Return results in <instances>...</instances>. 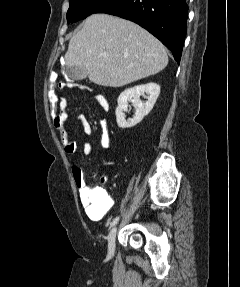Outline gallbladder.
<instances>
[{"mask_svg":"<svg viewBox=\"0 0 240 287\" xmlns=\"http://www.w3.org/2000/svg\"><path fill=\"white\" fill-rule=\"evenodd\" d=\"M64 74L69 81H80L88 76L87 70L78 66L66 67Z\"/></svg>","mask_w":240,"mask_h":287,"instance_id":"1","label":"gallbladder"}]
</instances>
